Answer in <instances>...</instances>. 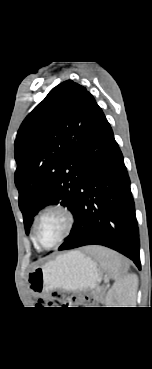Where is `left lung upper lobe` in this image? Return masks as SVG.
<instances>
[{"instance_id": "5c2ea615", "label": "left lung upper lobe", "mask_w": 152, "mask_h": 369, "mask_svg": "<svg viewBox=\"0 0 152 369\" xmlns=\"http://www.w3.org/2000/svg\"><path fill=\"white\" fill-rule=\"evenodd\" d=\"M100 110L90 92L67 80L22 122L15 140V184L27 234L46 205H65L75 218L81 160Z\"/></svg>"}]
</instances>
